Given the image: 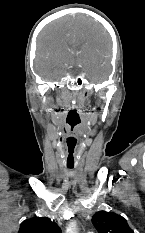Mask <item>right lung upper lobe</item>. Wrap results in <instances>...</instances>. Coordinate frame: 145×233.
Masks as SVG:
<instances>
[{"mask_svg": "<svg viewBox=\"0 0 145 233\" xmlns=\"http://www.w3.org/2000/svg\"><path fill=\"white\" fill-rule=\"evenodd\" d=\"M18 233H61V229L49 218L35 217L23 221Z\"/></svg>", "mask_w": 145, "mask_h": 233, "instance_id": "obj_1", "label": "right lung upper lobe"}]
</instances>
